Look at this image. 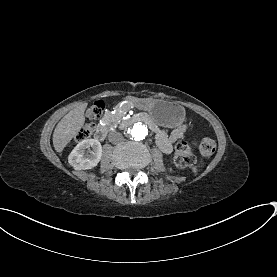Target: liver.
Listing matches in <instances>:
<instances>
[{
	"label": "liver",
	"mask_w": 277,
	"mask_h": 277,
	"mask_svg": "<svg viewBox=\"0 0 277 277\" xmlns=\"http://www.w3.org/2000/svg\"><path fill=\"white\" fill-rule=\"evenodd\" d=\"M88 103H82L69 111L57 124L53 133V146L57 153H62L70 141L78 135L85 124V110Z\"/></svg>",
	"instance_id": "6515ba94"
}]
</instances>
